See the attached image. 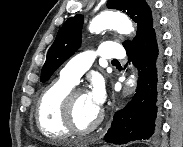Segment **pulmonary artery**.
Returning a JSON list of instances; mask_svg holds the SVG:
<instances>
[{
  "label": "pulmonary artery",
  "instance_id": "pulmonary-artery-1",
  "mask_svg": "<svg viewBox=\"0 0 183 147\" xmlns=\"http://www.w3.org/2000/svg\"><path fill=\"white\" fill-rule=\"evenodd\" d=\"M124 56L125 52L120 44L113 42L102 43L96 50L85 51L73 57L61 70L60 77L75 85L97 57L122 59Z\"/></svg>",
  "mask_w": 183,
  "mask_h": 147
}]
</instances>
